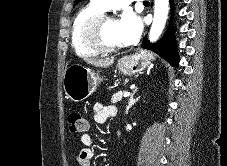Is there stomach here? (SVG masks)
I'll return each instance as SVG.
<instances>
[{
  "label": "stomach",
  "instance_id": "stomach-1",
  "mask_svg": "<svg viewBox=\"0 0 227 166\" xmlns=\"http://www.w3.org/2000/svg\"><path fill=\"white\" fill-rule=\"evenodd\" d=\"M154 56L150 51L140 50L138 53L122 57L117 68L123 74L131 76L141 73L149 66ZM101 81L98 74L80 64H72L65 69L63 87L68 99L81 102L89 97Z\"/></svg>",
  "mask_w": 227,
  "mask_h": 166
}]
</instances>
